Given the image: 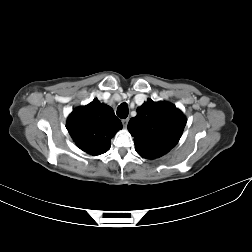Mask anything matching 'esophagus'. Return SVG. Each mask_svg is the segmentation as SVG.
Wrapping results in <instances>:
<instances>
[{"mask_svg":"<svg viewBox=\"0 0 252 252\" xmlns=\"http://www.w3.org/2000/svg\"><path fill=\"white\" fill-rule=\"evenodd\" d=\"M128 121H129V119H128V118H126V119H123V120H122V124H123V126H124V127H126V126H127Z\"/></svg>","mask_w":252,"mask_h":252,"instance_id":"34e87169","label":"esophagus"}]
</instances>
